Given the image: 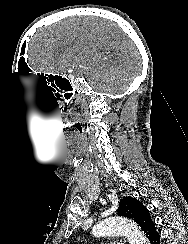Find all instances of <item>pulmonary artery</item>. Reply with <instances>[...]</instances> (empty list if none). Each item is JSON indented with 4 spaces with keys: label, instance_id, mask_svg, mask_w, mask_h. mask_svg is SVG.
Returning <instances> with one entry per match:
<instances>
[{
    "label": "pulmonary artery",
    "instance_id": "obj_1",
    "mask_svg": "<svg viewBox=\"0 0 188 244\" xmlns=\"http://www.w3.org/2000/svg\"><path fill=\"white\" fill-rule=\"evenodd\" d=\"M108 244H121V243H118V242H111V243H108Z\"/></svg>",
    "mask_w": 188,
    "mask_h": 244
}]
</instances>
